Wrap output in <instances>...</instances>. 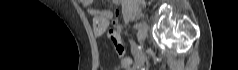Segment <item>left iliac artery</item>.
<instances>
[{
  "label": "left iliac artery",
  "mask_w": 238,
  "mask_h": 70,
  "mask_svg": "<svg viewBox=\"0 0 238 70\" xmlns=\"http://www.w3.org/2000/svg\"><path fill=\"white\" fill-rule=\"evenodd\" d=\"M134 28H135V29L140 28V24H139V23H136V24L134 25Z\"/></svg>",
  "instance_id": "left-iliac-artery-1"
}]
</instances>
